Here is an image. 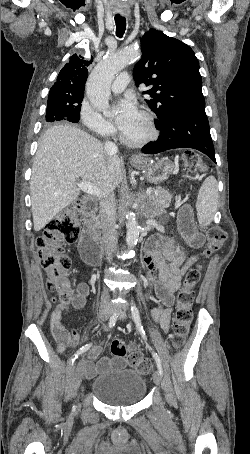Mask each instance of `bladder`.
<instances>
[{"label":"bladder","instance_id":"1","mask_svg":"<svg viewBox=\"0 0 250 454\" xmlns=\"http://www.w3.org/2000/svg\"><path fill=\"white\" fill-rule=\"evenodd\" d=\"M146 391V378L140 372L125 367L107 371L91 382L92 394L102 403L115 407L139 403Z\"/></svg>","mask_w":250,"mask_h":454}]
</instances>
